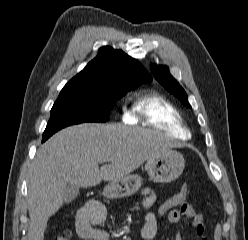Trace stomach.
Listing matches in <instances>:
<instances>
[{
	"mask_svg": "<svg viewBox=\"0 0 248 240\" xmlns=\"http://www.w3.org/2000/svg\"><path fill=\"white\" fill-rule=\"evenodd\" d=\"M185 160L181 153L167 150L147 160L145 169L154 182L168 183L177 179L183 172ZM142 185L139 175H129L123 179L109 182L103 195L109 199L133 195Z\"/></svg>",
	"mask_w": 248,
	"mask_h": 240,
	"instance_id": "1",
	"label": "stomach"
}]
</instances>
